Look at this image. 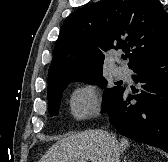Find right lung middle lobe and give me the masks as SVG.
<instances>
[{"mask_svg":"<svg viewBox=\"0 0 168 162\" xmlns=\"http://www.w3.org/2000/svg\"><path fill=\"white\" fill-rule=\"evenodd\" d=\"M82 81L89 84H97L100 87H105L107 82L102 76V71H94L83 76L61 80L48 85V111L51 116L58 115L60 101L62 98V91L68 86L69 82ZM122 86H115L113 88H106L103 94L102 112H106Z\"/></svg>","mask_w":168,"mask_h":162,"instance_id":"1","label":"right lung middle lobe"}]
</instances>
